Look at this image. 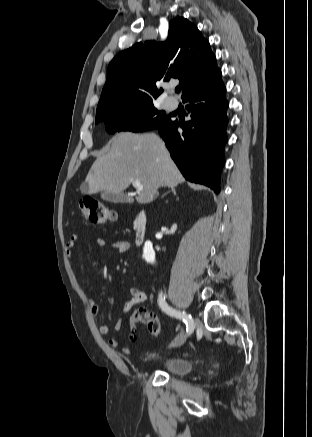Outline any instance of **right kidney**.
I'll return each instance as SVG.
<instances>
[{
    "instance_id": "ca27d5eb",
    "label": "right kidney",
    "mask_w": 312,
    "mask_h": 437,
    "mask_svg": "<svg viewBox=\"0 0 312 437\" xmlns=\"http://www.w3.org/2000/svg\"><path fill=\"white\" fill-rule=\"evenodd\" d=\"M143 258L146 262L154 263L155 252L153 250V245L150 241H146L143 248Z\"/></svg>"
}]
</instances>
